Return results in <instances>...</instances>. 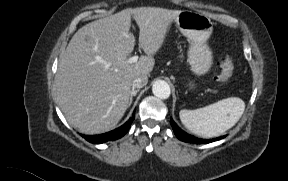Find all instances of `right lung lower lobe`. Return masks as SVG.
I'll return each instance as SVG.
<instances>
[{"label": "right lung lower lobe", "instance_id": "1", "mask_svg": "<svg viewBox=\"0 0 288 181\" xmlns=\"http://www.w3.org/2000/svg\"><path fill=\"white\" fill-rule=\"evenodd\" d=\"M134 120V113L129 120L117 129L99 135H82L84 139L93 144H101L108 141H114L123 137L131 127Z\"/></svg>", "mask_w": 288, "mask_h": 181}]
</instances>
